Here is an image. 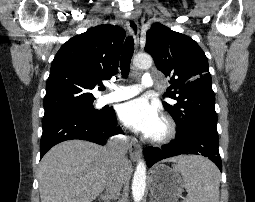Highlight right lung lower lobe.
Wrapping results in <instances>:
<instances>
[{"label": "right lung lower lobe", "mask_w": 255, "mask_h": 202, "mask_svg": "<svg viewBox=\"0 0 255 202\" xmlns=\"http://www.w3.org/2000/svg\"><path fill=\"white\" fill-rule=\"evenodd\" d=\"M43 133L40 141L41 156L54 145L71 139H81L100 145L106 138L123 133L117 126L114 110L105 112L101 119H95L81 113H56L44 115L42 120Z\"/></svg>", "instance_id": "obj_1"}]
</instances>
